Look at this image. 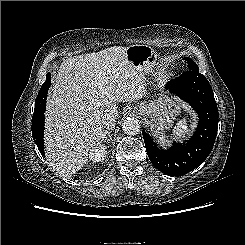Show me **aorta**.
Segmentation results:
<instances>
[{
	"instance_id": "762f6f07",
	"label": "aorta",
	"mask_w": 245,
	"mask_h": 245,
	"mask_svg": "<svg viewBox=\"0 0 245 245\" xmlns=\"http://www.w3.org/2000/svg\"><path fill=\"white\" fill-rule=\"evenodd\" d=\"M122 129L127 135H136L140 132V123L134 117H128L123 121Z\"/></svg>"
}]
</instances>
